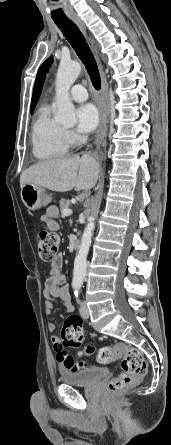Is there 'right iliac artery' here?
Returning <instances> with one entry per match:
<instances>
[{"mask_svg":"<svg viewBox=\"0 0 171 445\" xmlns=\"http://www.w3.org/2000/svg\"><path fill=\"white\" fill-rule=\"evenodd\" d=\"M73 288L76 289V288H78V286H77V285H74Z\"/></svg>","mask_w":171,"mask_h":445,"instance_id":"82829eb1","label":"right iliac artery"}]
</instances>
